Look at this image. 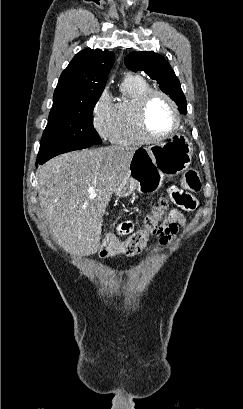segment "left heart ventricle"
<instances>
[{"instance_id": "1", "label": "left heart ventricle", "mask_w": 243, "mask_h": 409, "mask_svg": "<svg viewBox=\"0 0 243 409\" xmlns=\"http://www.w3.org/2000/svg\"><path fill=\"white\" fill-rule=\"evenodd\" d=\"M147 125L151 133L163 135L175 125V118L169 103L161 96H154L147 107Z\"/></svg>"}]
</instances>
